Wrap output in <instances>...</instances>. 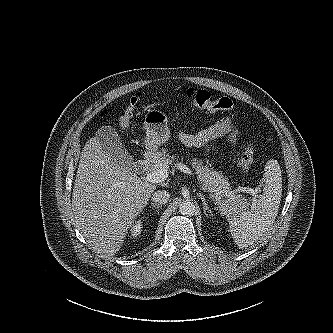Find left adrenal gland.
<instances>
[{
  "instance_id": "obj_1",
  "label": "left adrenal gland",
  "mask_w": 333,
  "mask_h": 333,
  "mask_svg": "<svg viewBox=\"0 0 333 333\" xmlns=\"http://www.w3.org/2000/svg\"><path fill=\"white\" fill-rule=\"evenodd\" d=\"M197 196L200 197V199H201V201L203 203L204 213L206 214V216H208L207 212H211V211H209V207H208V204L206 202V199H205L204 195L201 194V193H197Z\"/></svg>"
}]
</instances>
